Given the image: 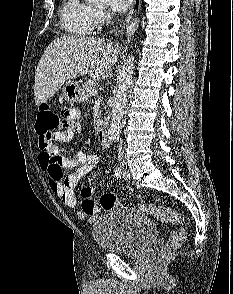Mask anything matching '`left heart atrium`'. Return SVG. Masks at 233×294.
<instances>
[{"label": "left heart atrium", "instance_id": "obj_1", "mask_svg": "<svg viewBox=\"0 0 233 294\" xmlns=\"http://www.w3.org/2000/svg\"><path fill=\"white\" fill-rule=\"evenodd\" d=\"M133 0H110L111 8L116 12L126 11Z\"/></svg>", "mask_w": 233, "mask_h": 294}]
</instances>
